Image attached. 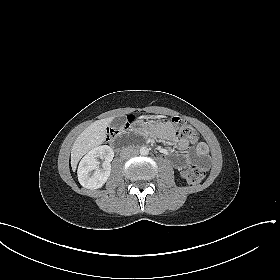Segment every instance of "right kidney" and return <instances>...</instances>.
Segmentation results:
<instances>
[{
    "label": "right kidney",
    "instance_id": "obj_1",
    "mask_svg": "<svg viewBox=\"0 0 280 280\" xmlns=\"http://www.w3.org/2000/svg\"><path fill=\"white\" fill-rule=\"evenodd\" d=\"M113 157V149L108 145L90 150L79 163L77 171L79 183L87 189L101 188L110 176V162ZM99 158L104 160L101 168H99Z\"/></svg>",
    "mask_w": 280,
    "mask_h": 280
}]
</instances>
